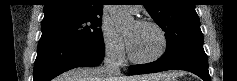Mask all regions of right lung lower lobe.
<instances>
[{
	"instance_id": "98d812e1",
	"label": "right lung lower lobe",
	"mask_w": 237,
	"mask_h": 81,
	"mask_svg": "<svg viewBox=\"0 0 237 81\" xmlns=\"http://www.w3.org/2000/svg\"><path fill=\"white\" fill-rule=\"evenodd\" d=\"M104 42L79 43L58 38H41L34 64L33 81H50L76 67H93L104 59Z\"/></svg>"
}]
</instances>
